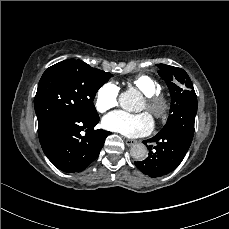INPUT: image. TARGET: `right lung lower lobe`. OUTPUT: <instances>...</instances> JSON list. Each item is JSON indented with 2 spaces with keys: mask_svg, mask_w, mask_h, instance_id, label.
<instances>
[{
  "mask_svg": "<svg viewBox=\"0 0 229 229\" xmlns=\"http://www.w3.org/2000/svg\"><path fill=\"white\" fill-rule=\"evenodd\" d=\"M99 118L87 120L65 115L53 121L39 135L50 162L64 172H81L99 155L111 132L94 127Z\"/></svg>",
  "mask_w": 229,
  "mask_h": 229,
  "instance_id": "98d812e1",
  "label": "right lung lower lobe"
}]
</instances>
